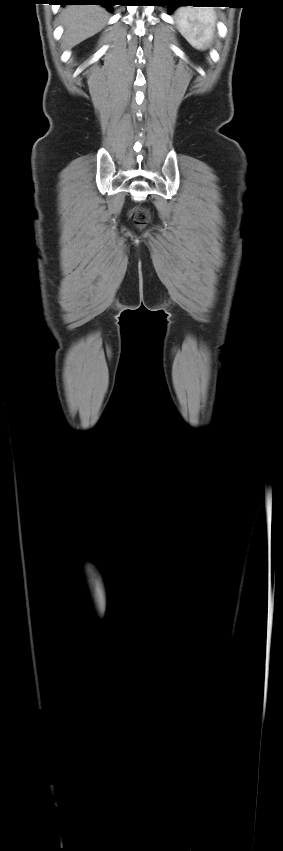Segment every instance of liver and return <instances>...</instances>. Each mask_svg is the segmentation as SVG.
I'll return each mask as SVG.
<instances>
[{"label": "liver", "instance_id": "obj_1", "mask_svg": "<svg viewBox=\"0 0 283 851\" xmlns=\"http://www.w3.org/2000/svg\"><path fill=\"white\" fill-rule=\"evenodd\" d=\"M108 13L95 5L69 6L61 12V23L65 29L63 48L69 49L92 37L103 29Z\"/></svg>", "mask_w": 283, "mask_h": 851}]
</instances>
